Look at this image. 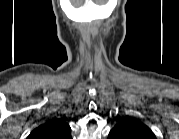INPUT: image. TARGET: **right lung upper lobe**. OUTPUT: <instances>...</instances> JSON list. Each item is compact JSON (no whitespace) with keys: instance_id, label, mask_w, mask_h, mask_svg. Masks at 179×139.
I'll return each mask as SVG.
<instances>
[{"instance_id":"cb5924a9","label":"right lung upper lobe","mask_w":179,"mask_h":139,"mask_svg":"<svg viewBox=\"0 0 179 139\" xmlns=\"http://www.w3.org/2000/svg\"><path fill=\"white\" fill-rule=\"evenodd\" d=\"M30 139H71L70 126L63 119H54L34 129Z\"/></svg>"}]
</instances>
